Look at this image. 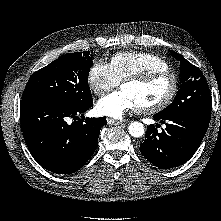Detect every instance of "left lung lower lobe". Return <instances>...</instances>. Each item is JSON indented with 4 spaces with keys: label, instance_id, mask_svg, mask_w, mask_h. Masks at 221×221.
Instances as JSON below:
<instances>
[{
    "label": "left lung lower lobe",
    "instance_id": "1",
    "mask_svg": "<svg viewBox=\"0 0 221 221\" xmlns=\"http://www.w3.org/2000/svg\"><path fill=\"white\" fill-rule=\"evenodd\" d=\"M209 111H192L174 115L155 114L166 124L162 132L157 126L147 127L145 141L140 145L142 155L153 165L170 169L187 162L199 148L210 122Z\"/></svg>",
    "mask_w": 221,
    "mask_h": 221
}]
</instances>
